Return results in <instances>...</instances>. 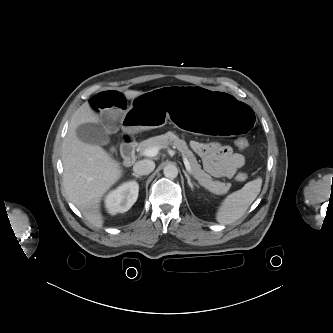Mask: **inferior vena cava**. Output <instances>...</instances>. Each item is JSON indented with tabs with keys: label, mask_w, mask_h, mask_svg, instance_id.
<instances>
[{
	"label": "inferior vena cava",
	"mask_w": 333,
	"mask_h": 333,
	"mask_svg": "<svg viewBox=\"0 0 333 333\" xmlns=\"http://www.w3.org/2000/svg\"><path fill=\"white\" fill-rule=\"evenodd\" d=\"M155 169V163L152 160H141L134 164L133 171L137 175H148Z\"/></svg>",
	"instance_id": "602c4592"
}]
</instances>
